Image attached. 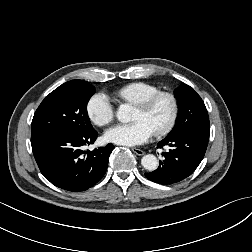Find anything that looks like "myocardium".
<instances>
[{
    "instance_id": "f54148a6",
    "label": "myocardium",
    "mask_w": 252,
    "mask_h": 252,
    "mask_svg": "<svg viewBox=\"0 0 252 252\" xmlns=\"http://www.w3.org/2000/svg\"><path fill=\"white\" fill-rule=\"evenodd\" d=\"M161 100H166L169 103L170 110L166 121L155 130V133L160 136L167 134L175 125L178 116V102L176 97L169 92H158L137 105L143 112L149 113Z\"/></svg>"
}]
</instances>
